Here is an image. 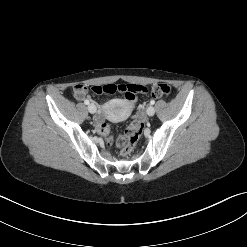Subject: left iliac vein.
I'll return each mask as SVG.
<instances>
[{"label": "left iliac vein", "instance_id": "1", "mask_svg": "<svg viewBox=\"0 0 247 247\" xmlns=\"http://www.w3.org/2000/svg\"><path fill=\"white\" fill-rule=\"evenodd\" d=\"M147 114L149 115V116H153L154 115V113H155V109H154V107L153 106H148V108H147Z\"/></svg>", "mask_w": 247, "mask_h": 247}]
</instances>
